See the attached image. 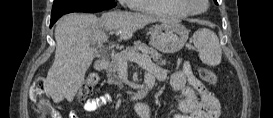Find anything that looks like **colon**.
Here are the masks:
<instances>
[{
    "label": "colon",
    "mask_w": 273,
    "mask_h": 118,
    "mask_svg": "<svg viewBox=\"0 0 273 118\" xmlns=\"http://www.w3.org/2000/svg\"><path fill=\"white\" fill-rule=\"evenodd\" d=\"M200 78L210 84H215L217 81L216 75L209 69L201 67L198 70ZM99 77L95 73H91L87 76L86 80L82 84L78 97L80 100H85L97 86ZM31 99L35 106L46 113L56 117L52 112L53 108L50 105V98L46 91V81L43 77H37L31 88Z\"/></svg>",
    "instance_id": "colon-1"
}]
</instances>
